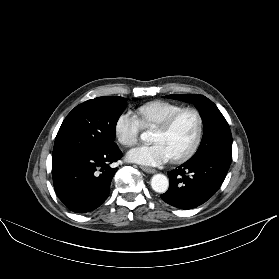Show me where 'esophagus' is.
<instances>
[{
    "label": "esophagus",
    "mask_w": 279,
    "mask_h": 279,
    "mask_svg": "<svg viewBox=\"0 0 279 279\" xmlns=\"http://www.w3.org/2000/svg\"><path fill=\"white\" fill-rule=\"evenodd\" d=\"M141 169L146 172V173H155L156 170L154 168H151V167H146V166H141Z\"/></svg>",
    "instance_id": "obj_1"
}]
</instances>
